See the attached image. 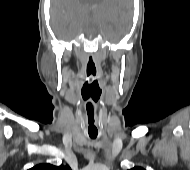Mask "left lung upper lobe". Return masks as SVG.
<instances>
[{
    "mask_svg": "<svg viewBox=\"0 0 190 170\" xmlns=\"http://www.w3.org/2000/svg\"><path fill=\"white\" fill-rule=\"evenodd\" d=\"M130 170H145V169H143L142 167H134V168H132Z\"/></svg>",
    "mask_w": 190,
    "mask_h": 170,
    "instance_id": "5c2ea615",
    "label": "left lung upper lobe"
}]
</instances>
